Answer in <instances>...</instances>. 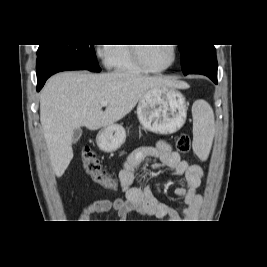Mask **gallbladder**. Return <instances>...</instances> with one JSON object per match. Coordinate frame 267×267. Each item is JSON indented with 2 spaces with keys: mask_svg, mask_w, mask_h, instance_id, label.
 <instances>
[{
  "mask_svg": "<svg viewBox=\"0 0 267 267\" xmlns=\"http://www.w3.org/2000/svg\"><path fill=\"white\" fill-rule=\"evenodd\" d=\"M81 135H82V129L81 128L75 129L72 135V143L75 144L76 142H78Z\"/></svg>",
  "mask_w": 267,
  "mask_h": 267,
  "instance_id": "gallbladder-1",
  "label": "gallbladder"
}]
</instances>
